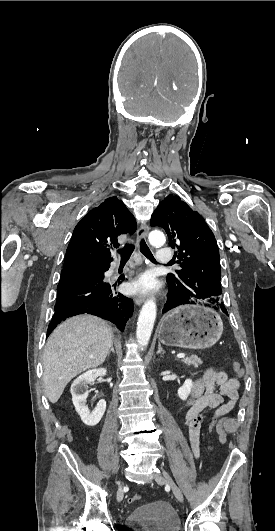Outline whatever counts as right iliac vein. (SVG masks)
Returning <instances> with one entry per match:
<instances>
[{"instance_id":"1","label":"right iliac vein","mask_w":275,"mask_h":531,"mask_svg":"<svg viewBox=\"0 0 275 531\" xmlns=\"http://www.w3.org/2000/svg\"><path fill=\"white\" fill-rule=\"evenodd\" d=\"M122 484H124V483H122ZM118 493H119V495H121V493H122V486H119V491H118Z\"/></svg>"}]
</instances>
